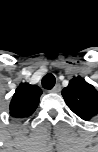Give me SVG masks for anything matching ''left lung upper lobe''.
<instances>
[{
    "instance_id": "left-lung-upper-lobe-1",
    "label": "left lung upper lobe",
    "mask_w": 98,
    "mask_h": 152,
    "mask_svg": "<svg viewBox=\"0 0 98 152\" xmlns=\"http://www.w3.org/2000/svg\"><path fill=\"white\" fill-rule=\"evenodd\" d=\"M69 108L81 119L89 121L98 114V91L82 77H74L62 90Z\"/></svg>"
}]
</instances>
